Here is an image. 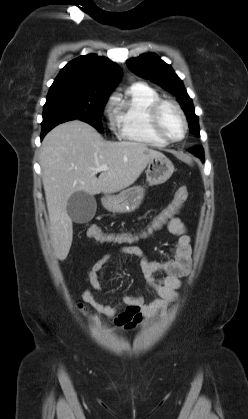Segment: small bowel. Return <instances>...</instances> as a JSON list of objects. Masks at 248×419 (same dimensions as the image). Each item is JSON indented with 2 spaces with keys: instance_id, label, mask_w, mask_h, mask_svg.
<instances>
[{
  "instance_id": "obj_1",
  "label": "small bowel",
  "mask_w": 248,
  "mask_h": 419,
  "mask_svg": "<svg viewBox=\"0 0 248 419\" xmlns=\"http://www.w3.org/2000/svg\"><path fill=\"white\" fill-rule=\"evenodd\" d=\"M167 226L168 230L178 239L170 249L169 255L161 261H150L141 248L131 244L156 231L151 226L138 234L121 235L120 237L125 238L124 241H109L121 245L117 250L118 254L139 258L144 277L158 298L147 302L143 296H124L120 303L110 305L98 301L89 289L83 291L82 296L85 302L99 313L112 318L115 324L123 329H137L146 325L164 307L175 301L177 290L182 284L181 279L190 270L191 240L186 233L184 223L179 218L172 217L168 220ZM87 235L92 239L89 232H87ZM111 258L112 254L104 255L92 265L88 272L86 280L96 291L102 290L100 279L105 277ZM158 274H161V276L157 277Z\"/></svg>"
}]
</instances>
